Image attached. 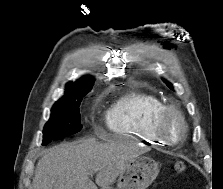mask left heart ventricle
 Segmentation results:
<instances>
[{
  "label": "left heart ventricle",
  "instance_id": "left-heart-ventricle-1",
  "mask_svg": "<svg viewBox=\"0 0 223 189\" xmlns=\"http://www.w3.org/2000/svg\"><path fill=\"white\" fill-rule=\"evenodd\" d=\"M182 134V125L178 118L172 117L167 123V135L170 139L176 140Z\"/></svg>",
  "mask_w": 223,
  "mask_h": 189
}]
</instances>
